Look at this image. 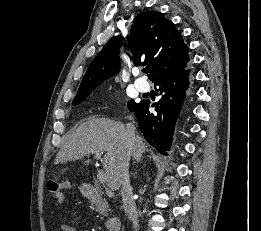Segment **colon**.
Here are the masks:
<instances>
[{
	"mask_svg": "<svg viewBox=\"0 0 261 231\" xmlns=\"http://www.w3.org/2000/svg\"><path fill=\"white\" fill-rule=\"evenodd\" d=\"M49 192L52 193L59 201L62 200V190L58 184H52L49 188Z\"/></svg>",
	"mask_w": 261,
	"mask_h": 231,
	"instance_id": "obj_1",
	"label": "colon"
}]
</instances>
